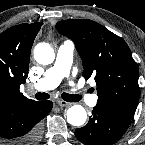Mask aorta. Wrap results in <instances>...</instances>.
<instances>
[{"label":"aorta","instance_id":"obj_1","mask_svg":"<svg viewBox=\"0 0 145 145\" xmlns=\"http://www.w3.org/2000/svg\"><path fill=\"white\" fill-rule=\"evenodd\" d=\"M34 58L42 65L51 64L55 59V53L50 44L41 42L34 48ZM87 119V113L81 105H73L67 110V121L73 126H82Z\"/></svg>","mask_w":145,"mask_h":145}]
</instances>
